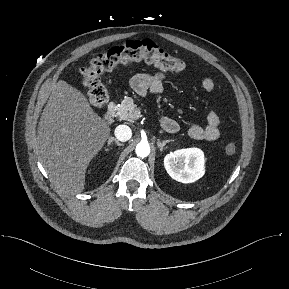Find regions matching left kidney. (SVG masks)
<instances>
[{
    "instance_id": "5707ae66",
    "label": "left kidney",
    "mask_w": 289,
    "mask_h": 289,
    "mask_svg": "<svg viewBox=\"0 0 289 289\" xmlns=\"http://www.w3.org/2000/svg\"><path fill=\"white\" fill-rule=\"evenodd\" d=\"M164 166L174 180L192 183L205 173L204 154L198 148L176 150L165 156Z\"/></svg>"
}]
</instances>
